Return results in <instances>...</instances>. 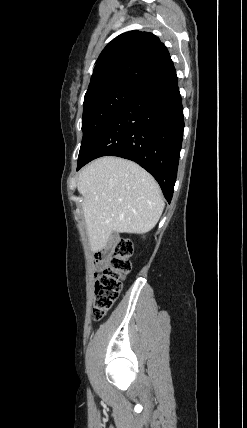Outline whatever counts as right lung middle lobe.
Returning a JSON list of instances; mask_svg holds the SVG:
<instances>
[{
  "label": "right lung middle lobe",
  "mask_w": 247,
  "mask_h": 428,
  "mask_svg": "<svg viewBox=\"0 0 247 428\" xmlns=\"http://www.w3.org/2000/svg\"><path fill=\"white\" fill-rule=\"evenodd\" d=\"M140 91L117 86L85 95L83 103V139L79 158L105 125Z\"/></svg>",
  "instance_id": "obj_1"
}]
</instances>
